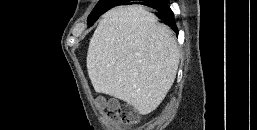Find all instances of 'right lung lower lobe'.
<instances>
[{"instance_id":"right-lung-lower-lobe-1","label":"right lung lower lobe","mask_w":257,"mask_h":130,"mask_svg":"<svg viewBox=\"0 0 257 130\" xmlns=\"http://www.w3.org/2000/svg\"><path fill=\"white\" fill-rule=\"evenodd\" d=\"M140 4L156 9L158 11L157 17L161 19L160 22L169 25L173 29L177 30L174 14L171 11L170 7L167 5L165 0L145 1Z\"/></svg>"}]
</instances>
